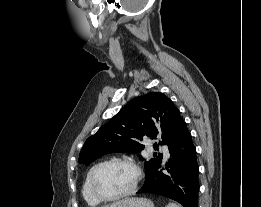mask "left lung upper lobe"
I'll return each mask as SVG.
<instances>
[{
  "mask_svg": "<svg viewBox=\"0 0 261 207\" xmlns=\"http://www.w3.org/2000/svg\"><path fill=\"white\" fill-rule=\"evenodd\" d=\"M183 123L180 111L164 94L151 92L132 99L118 114L92 136L79 155V162L91 163L101 156L113 152L138 153L144 146L137 140L159 135L160 144L168 147L173 143ZM157 148V144H154ZM145 161V173L154 170L162 161V154Z\"/></svg>",
  "mask_w": 261,
  "mask_h": 207,
  "instance_id": "1",
  "label": "left lung upper lobe"
}]
</instances>
